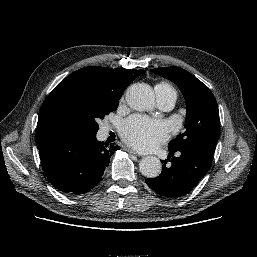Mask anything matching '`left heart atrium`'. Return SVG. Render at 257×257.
Here are the masks:
<instances>
[{
	"label": "left heart atrium",
	"mask_w": 257,
	"mask_h": 257,
	"mask_svg": "<svg viewBox=\"0 0 257 257\" xmlns=\"http://www.w3.org/2000/svg\"><path fill=\"white\" fill-rule=\"evenodd\" d=\"M122 137L137 150L151 151L168 140L169 130L163 121L134 115L125 121Z\"/></svg>",
	"instance_id": "39dd6f15"
}]
</instances>
